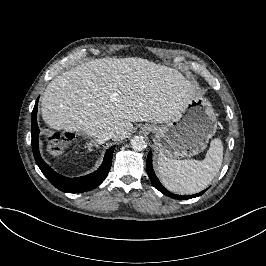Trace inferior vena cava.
<instances>
[{"instance_id": "inferior-vena-cava-1", "label": "inferior vena cava", "mask_w": 266, "mask_h": 266, "mask_svg": "<svg viewBox=\"0 0 266 266\" xmlns=\"http://www.w3.org/2000/svg\"><path fill=\"white\" fill-rule=\"evenodd\" d=\"M113 136V132L111 131H98L93 134V138L96 143L103 144L105 141L111 139Z\"/></svg>"}]
</instances>
